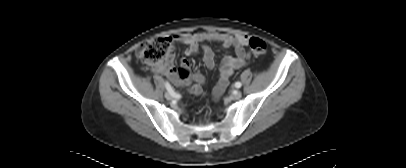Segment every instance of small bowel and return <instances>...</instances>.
Instances as JSON below:
<instances>
[{"instance_id":"small-bowel-1","label":"small bowel","mask_w":406,"mask_h":168,"mask_svg":"<svg viewBox=\"0 0 406 168\" xmlns=\"http://www.w3.org/2000/svg\"><path fill=\"white\" fill-rule=\"evenodd\" d=\"M172 39L186 46L185 56H192L202 50L204 64L209 69L215 66V55L208 43H217L223 48H234L236 55H225L221 62L219 78L212 92L214 100L223 94L234 72L245 66L250 58L249 53L244 50V46L248 43V37L245 35L197 32L177 34ZM174 60L175 55L171 51L164 63L152 65L151 69L154 73L166 75L176 86L186 87L194 95H202L204 77L199 73H191L190 64L184 58L181 59V67L177 71Z\"/></svg>"}]
</instances>
